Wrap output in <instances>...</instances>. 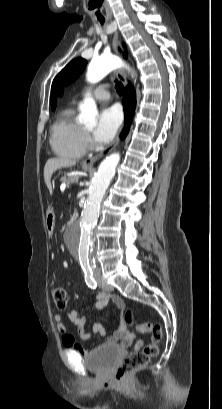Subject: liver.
I'll use <instances>...</instances> for the list:
<instances>
[{
	"label": "liver",
	"mask_w": 222,
	"mask_h": 409,
	"mask_svg": "<svg viewBox=\"0 0 222 409\" xmlns=\"http://www.w3.org/2000/svg\"><path fill=\"white\" fill-rule=\"evenodd\" d=\"M76 164L75 160L66 158V157H56L50 158L47 160L45 167H44V180L47 188L49 189L50 194H52V185H51V177L52 174L61 168L64 167H71Z\"/></svg>",
	"instance_id": "6515ba94"
}]
</instances>
